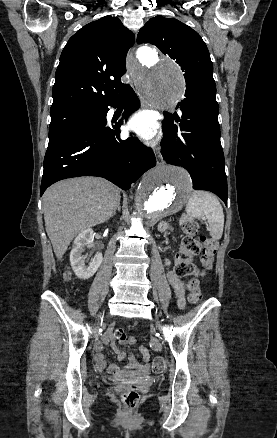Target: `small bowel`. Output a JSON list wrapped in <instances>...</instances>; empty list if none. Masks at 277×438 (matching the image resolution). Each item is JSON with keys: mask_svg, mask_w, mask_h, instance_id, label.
Instances as JSON below:
<instances>
[{"mask_svg": "<svg viewBox=\"0 0 277 438\" xmlns=\"http://www.w3.org/2000/svg\"><path fill=\"white\" fill-rule=\"evenodd\" d=\"M165 263L168 265L169 264V260H166ZM168 280L174 290V293L176 295L177 298V304L179 307H184L185 305V293H184V282L182 281V279H180L174 272H169L167 274ZM104 337L102 338V341L104 343H113L114 342V335L115 332L112 328V326L107 325L104 327ZM115 347H119V344H115ZM95 349L97 351L96 354V359L98 361L97 363V368H102L103 367V355H102V349L103 346L101 344H97L95 346ZM141 352L144 358L145 362H148L150 359V355L148 350L145 347L141 348ZM118 353V357L120 360L124 359V354H122L120 351L117 350ZM129 365L131 369H135L136 371H139L141 373H145L147 371V366L145 364H140L138 363L134 357L130 356L129 357ZM109 373L112 375L113 379H119L120 378V373L119 370L116 366H110L109 367Z\"/></svg>", "mask_w": 277, "mask_h": 438, "instance_id": "1", "label": "small bowel"}]
</instances>
